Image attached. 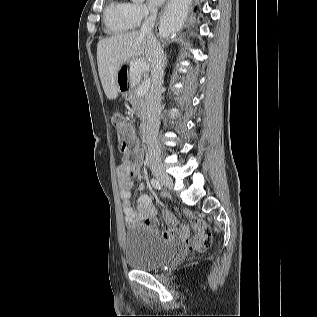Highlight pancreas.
<instances>
[{
    "instance_id": "1",
    "label": "pancreas",
    "mask_w": 317,
    "mask_h": 317,
    "mask_svg": "<svg viewBox=\"0 0 317 317\" xmlns=\"http://www.w3.org/2000/svg\"><path fill=\"white\" fill-rule=\"evenodd\" d=\"M141 75V72H140ZM140 75H136L138 78ZM140 86L133 85L130 87V91L128 93V101L132 104L134 111L137 112L138 117L141 119L144 118L145 116V111H146V95H138L137 90Z\"/></svg>"
}]
</instances>
